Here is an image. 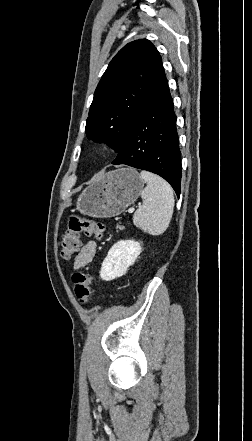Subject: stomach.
<instances>
[{
    "label": "stomach",
    "instance_id": "1",
    "mask_svg": "<svg viewBox=\"0 0 252 441\" xmlns=\"http://www.w3.org/2000/svg\"><path fill=\"white\" fill-rule=\"evenodd\" d=\"M143 186L144 181L135 169L107 172L82 192L77 209L96 218L117 216L137 200Z\"/></svg>",
    "mask_w": 252,
    "mask_h": 441
}]
</instances>
